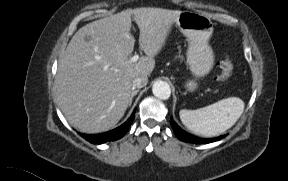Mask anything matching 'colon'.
<instances>
[{"instance_id":"5ec220e1","label":"colon","mask_w":288,"mask_h":181,"mask_svg":"<svg viewBox=\"0 0 288 181\" xmlns=\"http://www.w3.org/2000/svg\"><path fill=\"white\" fill-rule=\"evenodd\" d=\"M220 74L217 76V79L220 82H226L230 78L233 72V62L230 58H226L221 61L219 64Z\"/></svg>"}]
</instances>
